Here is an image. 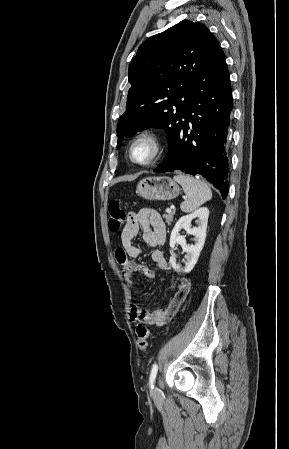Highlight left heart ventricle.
Here are the masks:
<instances>
[{
    "label": "left heart ventricle",
    "instance_id": "b2bd125f",
    "mask_svg": "<svg viewBox=\"0 0 289 449\" xmlns=\"http://www.w3.org/2000/svg\"><path fill=\"white\" fill-rule=\"evenodd\" d=\"M152 154V146L148 142H140L133 149V156L137 161H145Z\"/></svg>",
    "mask_w": 289,
    "mask_h": 449
}]
</instances>
